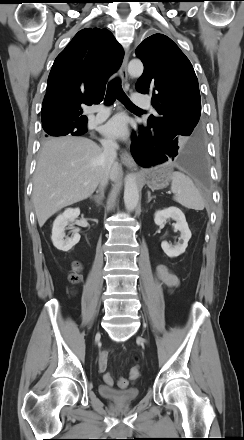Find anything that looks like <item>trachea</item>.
<instances>
[{
    "label": "trachea",
    "mask_w": 244,
    "mask_h": 440,
    "mask_svg": "<svg viewBox=\"0 0 244 440\" xmlns=\"http://www.w3.org/2000/svg\"><path fill=\"white\" fill-rule=\"evenodd\" d=\"M116 99H118L120 102H122L127 108H133V109H139V107L135 106L126 96L124 93L121 81L119 78L113 79L111 82H109L107 86V93L105 98L106 104H112Z\"/></svg>",
    "instance_id": "trachea-1"
}]
</instances>
